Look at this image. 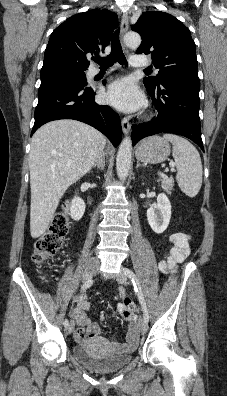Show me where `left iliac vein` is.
<instances>
[{"label":"left iliac vein","instance_id":"left-iliac-vein-1","mask_svg":"<svg viewBox=\"0 0 227 396\" xmlns=\"http://www.w3.org/2000/svg\"><path fill=\"white\" fill-rule=\"evenodd\" d=\"M124 270H125V268H122L121 272L116 276V280L120 284L127 283V276H126ZM147 329H148V325H147L146 321L144 320V318H142L139 322V330H140L141 334H145L147 332Z\"/></svg>","mask_w":227,"mask_h":396}]
</instances>
